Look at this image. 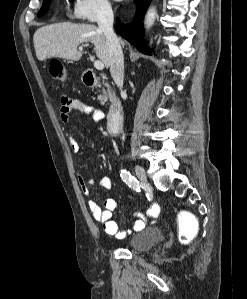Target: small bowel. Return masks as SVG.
I'll return each instance as SVG.
<instances>
[{
    "instance_id": "small-bowel-1",
    "label": "small bowel",
    "mask_w": 247,
    "mask_h": 299,
    "mask_svg": "<svg viewBox=\"0 0 247 299\" xmlns=\"http://www.w3.org/2000/svg\"><path fill=\"white\" fill-rule=\"evenodd\" d=\"M71 111H77L83 115L90 116L94 121H101L104 117V114L100 109L88 105L81 100L63 96L61 99L60 115L64 123L69 122ZM69 146L73 152H79L81 148L79 141L72 136H69ZM79 183L82 192L88 195L94 185V180L85 179L83 176H79ZM99 184L101 187L108 190L113 187V181L108 176L102 177ZM88 207L94 219L102 225L105 233L115 238H124L127 234H131L133 231L137 232L142 230L146 224L152 223L158 217L160 212L159 205L153 203L146 215L142 213H134L135 221L132 231H122L119 229L117 222L112 219L113 211L117 208V202L114 198H107L104 201L103 207H100L94 201H90Z\"/></svg>"
}]
</instances>
